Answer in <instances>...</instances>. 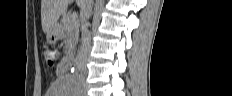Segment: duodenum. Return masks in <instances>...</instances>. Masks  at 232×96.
<instances>
[{
    "mask_svg": "<svg viewBox=\"0 0 232 96\" xmlns=\"http://www.w3.org/2000/svg\"><path fill=\"white\" fill-rule=\"evenodd\" d=\"M75 63L74 58L72 56H69L67 60L61 65V69L65 70L68 67L73 66Z\"/></svg>",
    "mask_w": 232,
    "mask_h": 96,
    "instance_id": "410a0bca",
    "label": "duodenum"
}]
</instances>
